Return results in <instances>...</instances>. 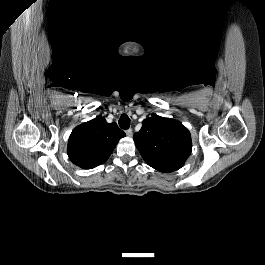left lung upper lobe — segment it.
<instances>
[{
	"mask_svg": "<svg viewBox=\"0 0 265 265\" xmlns=\"http://www.w3.org/2000/svg\"><path fill=\"white\" fill-rule=\"evenodd\" d=\"M133 139L146 163L158 171L183 166L191 154L190 132L174 119L161 116L147 118Z\"/></svg>",
	"mask_w": 265,
	"mask_h": 265,
	"instance_id": "1",
	"label": "left lung upper lobe"
}]
</instances>
